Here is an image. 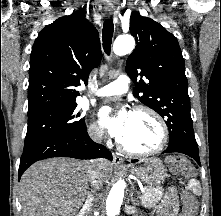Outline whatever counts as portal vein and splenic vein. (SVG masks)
<instances>
[{
	"instance_id": "portal-vein-and-splenic-vein-1",
	"label": "portal vein and splenic vein",
	"mask_w": 221,
	"mask_h": 216,
	"mask_svg": "<svg viewBox=\"0 0 221 216\" xmlns=\"http://www.w3.org/2000/svg\"><path fill=\"white\" fill-rule=\"evenodd\" d=\"M142 194H143V195H146V192H145V191H142Z\"/></svg>"
}]
</instances>
